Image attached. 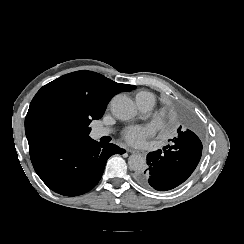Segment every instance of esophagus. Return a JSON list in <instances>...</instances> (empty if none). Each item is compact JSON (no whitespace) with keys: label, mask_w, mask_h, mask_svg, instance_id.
Listing matches in <instances>:
<instances>
[{"label":"esophagus","mask_w":244,"mask_h":244,"mask_svg":"<svg viewBox=\"0 0 244 244\" xmlns=\"http://www.w3.org/2000/svg\"><path fill=\"white\" fill-rule=\"evenodd\" d=\"M127 152L133 153V154H135V153L140 154V155L146 157V152L142 151V150H134V149L127 148Z\"/></svg>","instance_id":"1"}]
</instances>
